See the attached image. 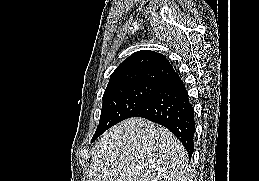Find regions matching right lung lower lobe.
<instances>
[{
	"label": "right lung lower lobe",
	"mask_w": 259,
	"mask_h": 181,
	"mask_svg": "<svg viewBox=\"0 0 259 181\" xmlns=\"http://www.w3.org/2000/svg\"><path fill=\"white\" fill-rule=\"evenodd\" d=\"M133 117H142L168 128L183 144L189 157L194 151V110L188 93L177 72H173L159 85L154 95ZM97 137H93L95 141Z\"/></svg>",
	"instance_id": "right-lung-lower-lobe-1"
}]
</instances>
